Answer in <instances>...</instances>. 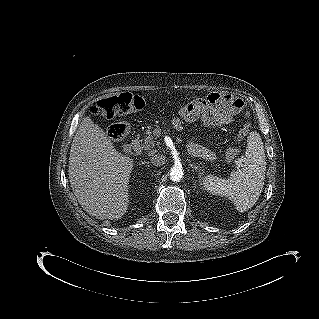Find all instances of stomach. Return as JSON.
Masks as SVG:
<instances>
[{"label": "stomach", "mask_w": 319, "mask_h": 319, "mask_svg": "<svg viewBox=\"0 0 319 319\" xmlns=\"http://www.w3.org/2000/svg\"><path fill=\"white\" fill-rule=\"evenodd\" d=\"M181 116L186 122L193 123L202 118V107L196 102H190L181 109Z\"/></svg>", "instance_id": "stomach-1"}]
</instances>
